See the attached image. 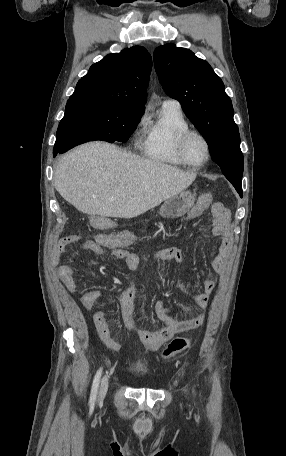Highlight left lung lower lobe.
I'll use <instances>...</instances> for the list:
<instances>
[{"label": "left lung lower lobe", "mask_w": 286, "mask_h": 456, "mask_svg": "<svg viewBox=\"0 0 286 456\" xmlns=\"http://www.w3.org/2000/svg\"><path fill=\"white\" fill-rule=\"evenodd\" d=\"M225 177L233 184L239 195L242 197V177L228 174H226Z\"/></svg>", "instance_id": "1"}]
</instances>
